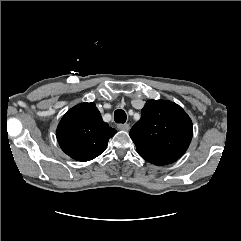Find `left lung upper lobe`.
Listing matches in <instances>:
<instances>
[{
	"label": "left lung upper lobe",
	"instance_id": "5c2ea615",
	"mask_svg": "<svg viewBox=\"0 0 241 241\" xmlns=\"http://www.w3.org/2000/svg\"><path fill=\"white\" fill-rule=\"evenodd\" d=\"M192 129L191 119L180 106L165 100H149L129 134L138 153L178 159L191 142Z\"/></svg>",
	"mask_w": 241,
	"mask_h": 241
}]
</instances>
